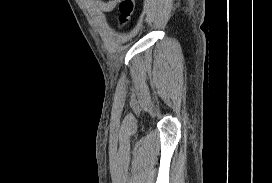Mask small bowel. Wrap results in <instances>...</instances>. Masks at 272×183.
Masks as SVG:
<instances>
[{"label":"small bowel","mask_w":272,"mask_h":183,"mask_svg":"<svg viewBox=\"0 0 272 183\" xmlns=\"http://www.w3.org/2000/svg\"><path fill=\"white\" fill-rule=\"evenodd\" d=\"M116 3H117V0H109L107 2L97 1L96 7L103 12H109V11L113 10Z\"/></svg>","instance_id":"c3829d8e"}]
</instances>
